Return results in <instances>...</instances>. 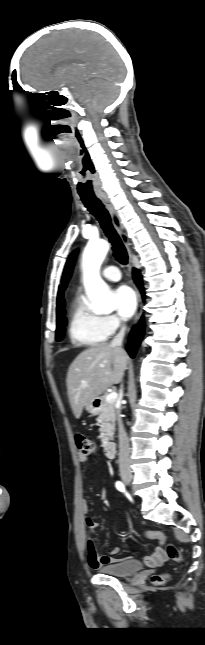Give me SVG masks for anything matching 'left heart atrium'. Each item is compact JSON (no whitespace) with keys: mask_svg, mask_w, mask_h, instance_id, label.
<instances>
[{"mask_svg":"<svg viewBox=\"0 0 205 645\" xmlns=\"http://www.w3.org/2000/svg\"><path fill=\"white\" fill-rule=\"evenodd\" d=\"M118 314L123 319H129L137 308V298L133 290L125 285L118 287L113 293Z\"/></svg>","mask_w":205,"mask_h":645,"instance_id":"39dd6f15","label":"left heart atrium"}]
</instances>
